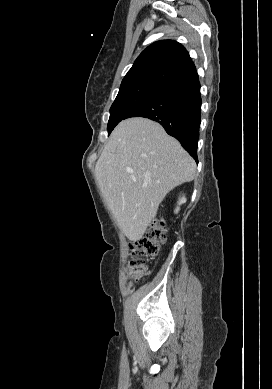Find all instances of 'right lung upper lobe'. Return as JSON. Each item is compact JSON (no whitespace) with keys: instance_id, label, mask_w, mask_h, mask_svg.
<instances>
[{"instance_id":"right-lung-upper-lobe-1","label":"right lung upper lobe","mask_w":272,"mask_h":389,"mask_svg":"<svg viewBox=\"0 0 272 389\" xmlns=\"http://www.w3.org/2000/svg\"><path fill=\"white\" fill-rule=\"evenodd\" d=\"M196 71L189 53L174 40L149 45L135 60L121 85L150 81L163 85Z\"/></svg>"}]
</instances>
